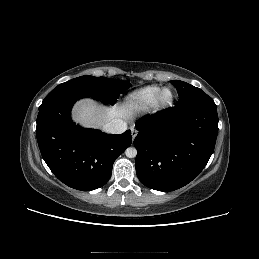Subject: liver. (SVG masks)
I'll list each match as a JSON object with an SVG mask.
<instances>
[{
  "instance_id": "6515ba94",
  "label": "liver",
  "mask_w": 259,
  "mask_h": 259,
  "mask_svg": "<svg viewBox=\"0 0 259 259\" xmlns=\"http://www.w3.org/2000/svg\"><path fill=\"white\" fill-rule=\"evenodd\" d=\"M126 114V109L118 105L106 110L92 100H83L74 108L73 117L77 123L94 127L102 126L119 117H125Z\"/></svg>"
}]
</instances>
